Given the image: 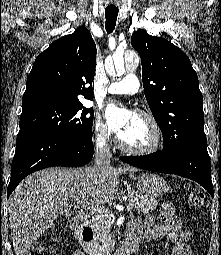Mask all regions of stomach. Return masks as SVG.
Returning a JSON list of instances; mask_svg holds the SVG:
<instances>
[{
  "label": "stomach",
  "mask_w": 221,
  "mask_h": 255,
  "mask_svg": "<svg viewBox=\"0 0 221 255\" xmlns=\"http://www.w3.org/2000/svg\"><path fill=\"white\" fill-rule=\"evenodd\" d=\"M140 192L149 199H156L168 191L166 181L155 174H144L141 177L135 178Z\"/></svg>",
  "instance_id": "0dacf381"
}]
</instances>
